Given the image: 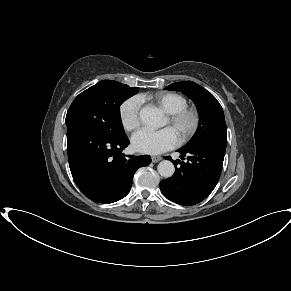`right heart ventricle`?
<instances>
[{"label": "right heart ventricle", "instance_id": "obj_1", "mask_svg": "<svg viewBox=\"0 0 291 291\" xmlns=\"http://www.w3.org/2000/svg\"><path fill=\"white\" fill-rule=\"evenodd\" d=\"M141 100H152L164 112L173 113L188 106L187 99L180 93L160 91L153 94H142Z\"/></svg>", "mask_w": 291, "mask_h": 291}]
</instances>
